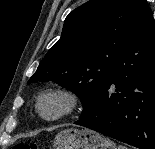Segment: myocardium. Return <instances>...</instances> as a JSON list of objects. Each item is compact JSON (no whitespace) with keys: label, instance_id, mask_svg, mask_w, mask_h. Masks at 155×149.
Returning <instances> with one entry per match:
<instances>
[{"label":"myocardium","instance_id":"myocardium-1","mask_svg":"<svg viewBox=\"0 0 155 149\" xmlns=\"http://www.w3.org/2000/svg\"><path fill=\"white\" fill-rule=\"evenodd\" d=\"M55 98L61 101L62 108L56 115L48 116L42 110V103L46 99ZM79 98L77 94L69 89L55 87L42 91L36 100L35 109L37 114L45 121L55 122L71 116L77 109Z\"/></svg>","mask_w":155,"mask_h":149}]
</instances>
